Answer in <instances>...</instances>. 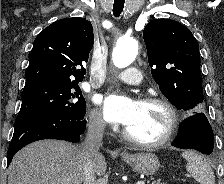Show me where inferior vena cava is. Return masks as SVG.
<instances>
[{"instance_id": "obj_1", "label": "inferior vena cava", "mask_w": 224, "mask_h": 184, "mask_svg": "<svg viewBox=\"0 0 224 184\" xmlns=\"http://www.w3.org/2000/svg\"><path fill=\"white\" fill-rule=\"evenodd\" d=\"M105 129V122L100 116L91 117L84 141L79 146V155L84 171L83 184H96L93 159L98 156Z\"/></svg>"}]
</instances>
